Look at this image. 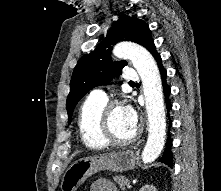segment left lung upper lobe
<instances>
[{
    "mask_svg": "<svg viewBox=\"0 0 221 191\" xmlns=\"http://www.w3.org/2000/svg\"><path fill=\"white\" fill-rule=\"evenodd\" d=\"M120 41H131L148 49L153 39L145 21L127 15L120 16L104 40L94 51L82 56L74 68L66 102L69 123L80 99L94 87L110 82L127 65L126 61L111 60V48Z\"/></svg>",
    "mask_w": 221,
    "mask_h": 191,
    "instance_id": "left-lung-upper-lobe-1",
    "label": "left lung upper lobe"
}]
</instances>
